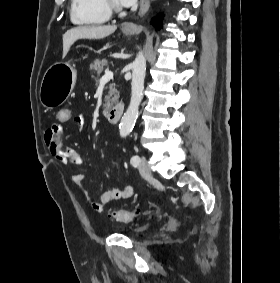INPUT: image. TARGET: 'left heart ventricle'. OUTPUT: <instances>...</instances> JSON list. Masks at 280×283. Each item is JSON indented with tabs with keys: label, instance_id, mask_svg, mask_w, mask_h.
<instances>
[{
	"label": "left heart ventricle",
	"instance_id": "1",
	"mask_svg": "<svg viewBox=\"0 0 280 283\" xmlns=\"http://www.w3.org/2000/svg\"><path fill=\"white\" fill-rule=\"evenodd\" d=\"M117 4H119L120 5V3H119V0H114Z\"/></svg>",
	"mask_w": 280,
	"mask_h": 283
}]
</instances>
